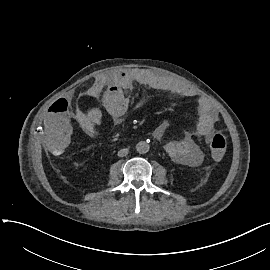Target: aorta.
I'll use <instances>...</instances> for the list:
<instances>
[{"label":"aorta","mask_w":270,"mask_h":270,"mask_svg":"<svg viewBox=\"0 0 270 270\" xmlns=\"http://www.w3.org/2000/svg\"><path fill=\"white\" fill-rule=\"evenodd\" d=\"M150 146L147 142L145 141H140L136 144V150L140 154H145L149 151Z\"/></svg>","instance_id":"aorta-1"}]
</instances>
